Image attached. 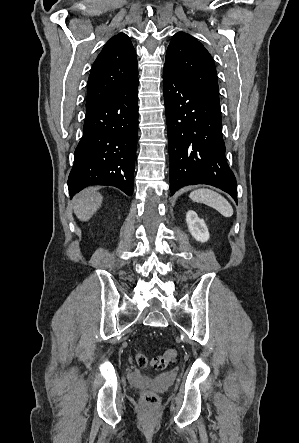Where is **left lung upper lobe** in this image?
<instances>
[{"mask_svg":"<svg viewBox=\"0 0 299 443\" xmlns=\"http://www.w3.org/2000/svg\"><path fill=\"white\" fill-rule=\"evenodd\" d=\"M164 67L219 102L213 59L204 46L191 35L178 32L173 36Z\"/></svg>","mask_w":299,"mask_h":443,"instance_id":"left-lung-upper-lobe-1","label":"left lung upper lobe"}]
</instances>
